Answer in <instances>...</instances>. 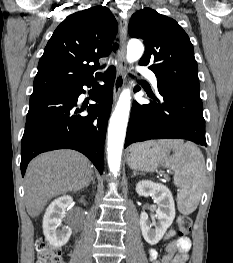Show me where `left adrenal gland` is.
<instances>
[{"label": "left adrenal gland", "mask_w": 233, "mask_h": 263, "mask_svg": "<svg viewBox=\"0 0 233 263\" xmlns=\"http://www.w3.org/2000/svg\"><path fill=\"white\" fill-rule=\"evenodd\" d=\"M139 174H141V173L134 171L132 177H135L136 175H139Z\"/></svg>", "instance_id": "obj_1"}]
</instances>
